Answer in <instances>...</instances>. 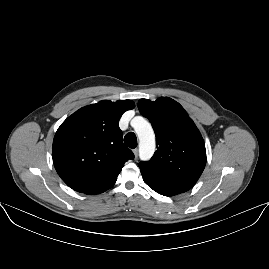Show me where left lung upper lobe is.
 Listing matches in <instances>:
<instances>
[{
  "label": "left lung upper lobe",
  "instance_id": "5c2ea615",
  "mask_svg": "<svg viewBox=\"0 0 269 269\" xmlns=\"http://www.w3.org/2000/svg\"><path fill=\"white\" fill-rule=\"evenodd\" d=\"M140 113L156 134L157 150L148 162H140L142 175L158 180L194 185L206 165L203 138L183 107L168 97L154 102L140 99Z\"/></svg>",
  "mask_w": 269,
  "mask_h": 269
}]
</instances>
